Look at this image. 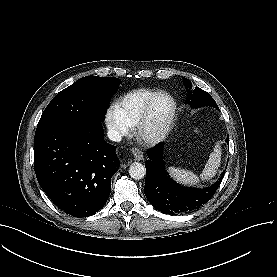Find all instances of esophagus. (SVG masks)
<instances>
[{
	"label": "esophagus",
	"instance_id": "1",
	"mask_svg": "<svg viewBox=\"0 0 277 277\" xmlns=\"http://www.w3.org/2000/svg\"><path fill=\"white\" fill-rule=\"evenodd\" d=\"M132 153L136 161H140L143 159V153L139 149L133 148Z\"/></svg>",
	"mask_w": 277,
	"mask_h": 277
}]
</instances>
